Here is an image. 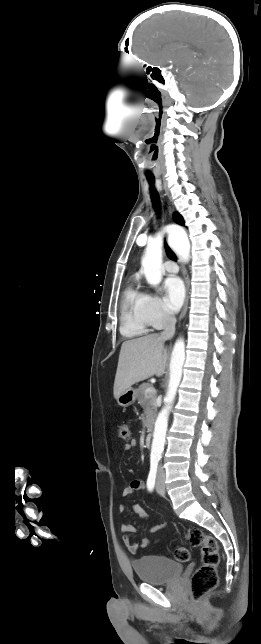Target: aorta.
I'll list each match as a JSON object with an SVG mask.
<instances>
[{
  "mask_svg": "<svg viewBox=\"0 0 261 644\" xmlns=\"http://www.w3.org/2000/svg\"><path fill=\"white\" fill-rule=\"evenodd\" d=\"M169 241L176 246L179 254L189 258V244L186 235H180L173 228L168 229ZM163 236L158 235L148 241L145 254L142 258V267L148 284L157 286L164 273L162 266ZM185 361V344L183 339H178L174 345L170 361V379L168 390L164 398L165 406L161 409L155 422L153 441L151 446V458H159L162 455L165 445V438L168 426L169 410L174 402L177 388L182 377V368Z\"/></svg>",
  "mask_w": 261,
  "mask_h": 644,
  "instance_id": "762f6f07",
  "label": "aorta"
}]
</instances>
